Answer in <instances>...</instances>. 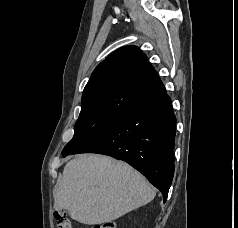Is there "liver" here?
<instances>
[{
  "mask_svg": "<svg viewBox=\"0 0 238 228\" xmlns=\"http://www.w3.org/2000/svg\"><path fill=\"white\" fill-rule=\"evenodd\" d=\"M155 189L123 161L81 155L69 161L54 193V208L87 225L113 221L154 199Z\"/></svg>",
  "mask_w": 238,
  "mask_h": 228,
  "instance_id": "6515ba94",
  "label": "liver"
}]
</instances>
